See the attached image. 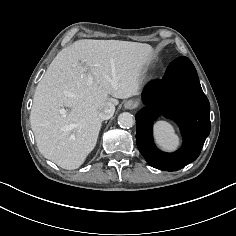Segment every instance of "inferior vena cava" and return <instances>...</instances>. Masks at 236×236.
I'll use <instances>...</instances> for the list:
<instances>
[{
    "mask_svg": "<svg viewBox=\"0 0 236 236\" xmlns=\"http://www.w3.org/2000/svg\"><path fill=\"white\" fill-rule=\"evenodd\" d=\"M114 111H115L114 104H112L110 102L105 103V105L103 106V108L100 110V112L98 114L99 118L102 120H108L113 116Z\"/></svg>",
    "mask_w": 236,
    "mask_h": 236,
    "instance_id": "inferior-vena-cava-1",
    "label": "inferior vena cava"
}]
</instances>
